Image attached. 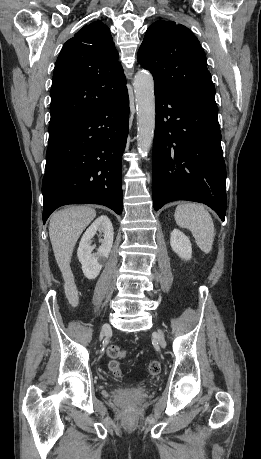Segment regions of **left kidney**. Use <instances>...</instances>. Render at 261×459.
<instances>
[{
	"mask_svg": "<svg viewBox=\"0 0 261 459\" xmlns=\"http://www.w3.org/2000/svg\"><path fill=\"white\" fill-rule=\"evenodd\" d=\"M170 245L172 250L183 260H190L192 257V247L189 238L180 230L174 229L170 235Z\"/></svg>",
	"mask_w": 261,
	"mask_h": 459,
	"instance_id": "obj_1",
	"label": "left kidney"
}]
</instances>
